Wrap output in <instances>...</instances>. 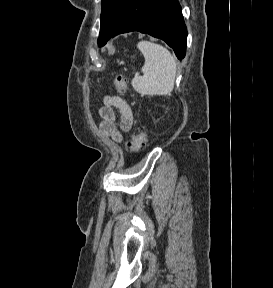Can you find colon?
Segmentation results:
<instances>
[{
    "label": "colon",
    "instance_id": "5ec220e1",
    "mask_svg": "<svg viewBox=\"0 0 273 288\" xmlns=\"http://www.w3.org/2000/svg\"><path fill=\"white\" fill-rule=\"evenodd\" d=\"M115 86L120 93H125L127 85L125 78L122 75H117L115 78ZM146 143V134L144 132H137L133 134L131 139L126 143V149L129 152H138Z\"/></svg>",
    "mask_w": 273,
    "mask_h": 288
}]
</instances>
